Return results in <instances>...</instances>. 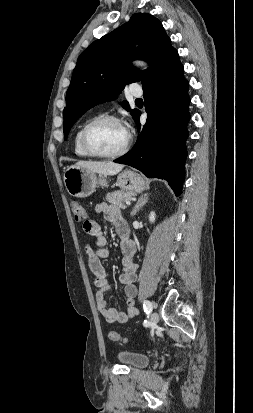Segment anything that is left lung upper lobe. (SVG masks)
<instances>
[{
	"label": "left lung upper lobe",
	"mask_w": 253,
	"mask_h": 413,
	"mask_svg": "<svg viewBox=\"0 0 253 413\" xmlns=\"http://www.w3.org/2000/svg\"><path fill=\"white\" fill-rule=\"evenodd\" d=\"M175 49L161 22L147 13L131 19L108 35L94 41L78 58L66 93L64 140L73 124L90 108L117 97L126 84L151 81ZM134 58L147 61L146 70L130 64ZM122 106L134 118L139 111Z\"/></svg>",
	"instance_id": "left-lung-upper-lobe-1"
}]
</instances>
